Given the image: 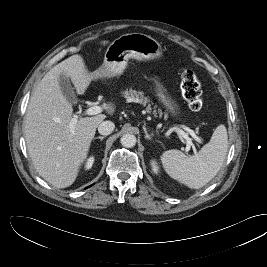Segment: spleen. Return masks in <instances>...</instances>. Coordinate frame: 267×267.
Masks as SVG:
<instances>
[{
  "mask_svg": "<svg viewBox=\"0 0 267 267\" xmlns=\"http://www.w3.org/2000/svg\"><path fill=\"white\" fill-rule=\"evenodd\" d=\"M228 149L227 130L219 125L210 141L201 150L186 156L179 150L163 152L161 161L166 173L192 189H199L212 180L221 169Z\"/></svg>",
  "mask_w": 267,
  "mask_h": 267,
  "instance_id": "obj_1",
  "label": "spleen"
}]
</instances>
